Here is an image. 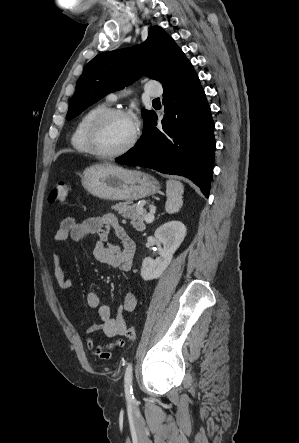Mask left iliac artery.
<instances>
[{
    "instance_id": "left-iliac-artery-1",
    "label": "left iliac artery",
    "mask_w": 299,
    "mask_h": 443,
    "mask_svg": "<svg viewBox=\"0 0 299 443\" xmlns=\"http://www.w3.org/2000/svg\"><path fill=\"white\" fill-rule=\"evenodd\" d=\"M133 369H132V363H128L126 370H125V376H124V386H125V394L126 398L129 400L134 399L133 395V388H132V379H133Z\"/></svg>"
}]
</instances>
